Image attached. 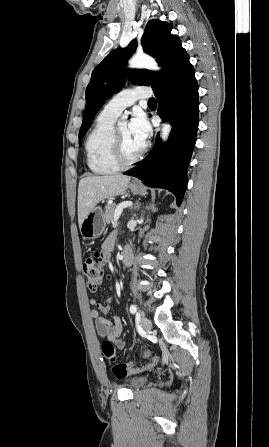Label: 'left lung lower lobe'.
Segmentation results:
<instances>
[{"label":"left lung lower lobe","mask_w":269,"mask_h":447,"mask_svg":"<svg viewBox=\"0 0 269 447\" xmlns=\"http://www.w3.org/2000/svg\"><path fill=\"white\" fill-rule=\"evenodd\" d=\"M158 101L157 114L173 126L166 143L157 135L149 155L125 175L137 177L150 187L168 189L179 206L187 187V168L198 130V84L189 55L182 52L167 81L154 91Z\"/></svg>","instance_id":"left-lung-lower-lobe-1"}]
</instances>
